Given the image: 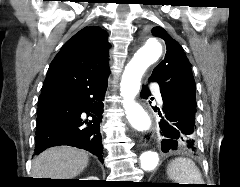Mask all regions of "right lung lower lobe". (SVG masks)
Segmentation results:
<instances>
[{
	"label": "right lung lower lobe",
	"mask_w": 240,
	"mask_h": 187,
	"mask_svg": "<svg viewBox=\"0 0 240 187\" xmlns=\"http://www.w3.org/2000/svg\"><path fill=\"white\" fill-rule=\"evenodd\" d=\"M107 78L77 90L39 99L35 154L52 146L85 149L103 163L100 123Z\"/></svg>",
	"instance_id": "obj_1"
}]
</instances>
